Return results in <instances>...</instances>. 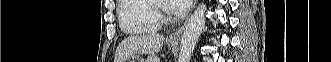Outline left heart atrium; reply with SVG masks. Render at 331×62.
I'll return each mask as SVG.
<instances>
[{"label": "left heart atrium", "mask_w": 331, "mask_h": 62, "mask_svg": "<svg viewBox=\"0 0 331 62\" xmlns=\"http://www.w3.org/2000/svg\"><path fill=\"white\" fill-rule=\"evenodd\" d=\"M191 0H169L167 1V10L168 12L180 15L185 13L190 6Z\"/></svg>", "instance_id": "obj_1"}]
</instances>
